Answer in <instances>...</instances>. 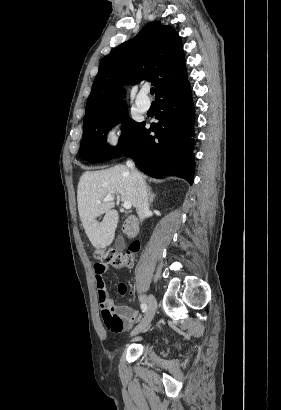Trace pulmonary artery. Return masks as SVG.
I'll use <instances>...</instances> for the list:
<instances>
[{
    "instance_id": "e3ab8cb5",
    "label": "pulmonary artery",
    "mask_w": 281,
    "mask_h": 410,
    "mask_svg": "<svg viewBox=\"0 0 281 410\" xmlns=\"http://www.w3.org/2000/svg\"><path fill=\"white\" fill-rule=\"evenodd\" d=\"M149 91L148 86H143L137 96H136V106L138 107V109L142 112H146L148 111V109L150 108V100L147 97V93Z\"/></svg>"
}]
</instances>
